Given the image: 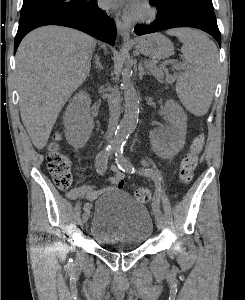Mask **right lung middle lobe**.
Instances as JSON below:
<instances>
[{
	"label": "right lung middle lobe",
	"instance_id": "right-lung-middle-lobe-1",
	"mask_svg": "<svg viewBox=\"0 0 245 300\" xmlns=\"http://www.w3.org/2000/svg\"><path fill=\"white\" fill-rule=\"evenodd\" d=\"M96 0H24L19 25L67 11H83Z\"/></svg>",
	"mask_w": 245,
	"mask_h": 300
}]
</instances>
